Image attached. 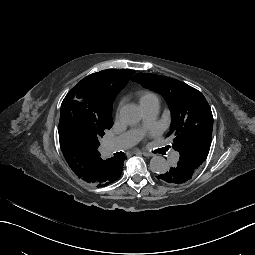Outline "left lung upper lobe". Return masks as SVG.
I'll return each mask as SVG.
<instances>
[{
  "instance_id": "1",
  "label": "left lung upper lobe",
  "mask_w": 255,
  "mask_h": 255,
  "mask_svg": "<svg viewBox=\"0 0 255 255\" xmlns=\"http://www.w3.org/2000/svg\"><path fill=\"white\" fill-rule=\"evenodd\" d=\"M132 80L166 99L172 116L167 136L174 137L172 148L180 154L178 163L193 175L211 145L213 116L207 100L197 89L169 77L138 73Z\"/></svg>"
}]
</instances>
